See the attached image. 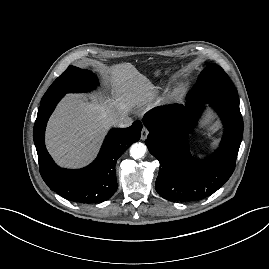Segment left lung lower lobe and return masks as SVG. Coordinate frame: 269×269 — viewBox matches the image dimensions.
Instances as JSON below:
<instances>
[{
	"mask_svg": "<svg viewBox=\"0 0 269 269\" xmlns=\"http://www.w3.org/2000/svg\"><path fill=\"white\" fill-rule=\"evenodd\" d=\"M208 103L220 115L225 132L218 151L203 161L190 154L187 136L206 103L194 104L187 99L185 105L172 104L143 118L149 130L145 144L160 162L156 191L167 200L191 202L206 198L226 183L235 169L243 135L239 103L227 100Z\"/></svg>",
	"mask_w": 269,
	"mask_h": 269,
	"instance_id": "1",
	"label": "left lung lower lobe"
}]
</instances>
